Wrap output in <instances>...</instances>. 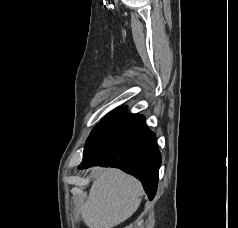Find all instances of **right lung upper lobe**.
I'll list each match as a JSON object with an SVG mask.
<instances>
[{
    "mask_svg": "<svg viewBox=\"0 0 238 228\" xmlns=\"http://www.w3.org/2000/svg\"><path fill=\"white\" fill-rule=\"evenodd\" d=\"M125 112H126V108H118L116 110H114L111 114H109L107 117H113V116H116V117H121L123 115H125Z\"/></svg>",
    "mask_w": 238,
    "mask_h": 228,
    "instance_id": "1",
    "label": "right lung upper lobe"
}]
</instances>
